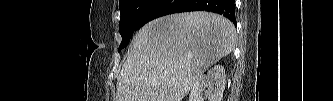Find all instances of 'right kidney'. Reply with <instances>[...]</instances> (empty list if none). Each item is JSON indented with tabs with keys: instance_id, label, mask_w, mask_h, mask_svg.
I'll use <instances>...</instances> for the list:
<instances>
[{
	"instance_id": "1",
	"label": "right kidney",
	"mask_w": 333,
	"mask_h": 101,
	"mask_svg": "<svg viewBox=\"0 0 333 101\" xmlns=\"http://www.w3.org/2000/svg\"><path fill=\"white\" fill-rule=\"evenodd\" d=\"M226 84L225 69L215 65L194 83L189 101H221Z\"/></svg>"
}]
</instances>
